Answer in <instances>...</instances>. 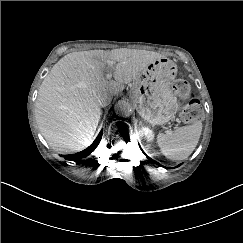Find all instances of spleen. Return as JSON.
Returning a JSON list of instances; mask_svg holds the SVG:
<instances>
[{"label":"spleen","mask_w":243,"mask_h":243,"mask_svg":"<svg viewBox=\"0 0 243 243\" xmlns=\"http://www.w3.org/2000/svg\"><path fill=\"white\" fill-rule=\"evenodd\" d=\"M202 132V123L179 127L171 134L159 133L158 145L162 153L173 160L186 159L195 149Z\"/></svg>","instance_id":"3e777b00"}]
</instances>
